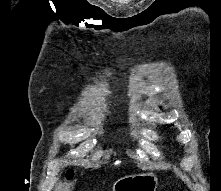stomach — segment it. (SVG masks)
Returning a JSON list of instances; mask_svg holds the SVG:
<instances>
[{"label": "stomach", "mask_w": 221, "mask_h": 191, "mask_svg": "<svg viewBox=\"0 0 221 191\" xmlns=\"http://www.w3.org/2000/svg\"><path fill=\"white\" fill-rule=\"evenodd\" d=\"M158 179L153 173L125 176L113 184V191H156Z\"/></svg>", "instance_id": "obj_1"}]
</instances>
